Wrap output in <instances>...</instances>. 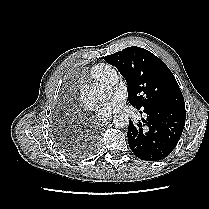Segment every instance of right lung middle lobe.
I'll list each match as a JSON object with an SVG mask.
<instances>
[{
	"label": "right lung middle lobe",
	"mask_w": 209,
	"mask_h": 209,
	"mask_svg": "<svg viewBox=\"0 0 209 209\" xmlns=\"http://www.w3.org/2000/svg\"><path fill=\"white\" fill-rule=\"evenodd\" d=\"M59 149L63 152V153H65V154H67V155H69V156H71V157H74V156H77V155H79V149H77V148H75V147H72V146H70V145H68V143H65V142H61L60 144H59Z\"/></svg>",
	"instance_id": "1"
}]
</instances>
